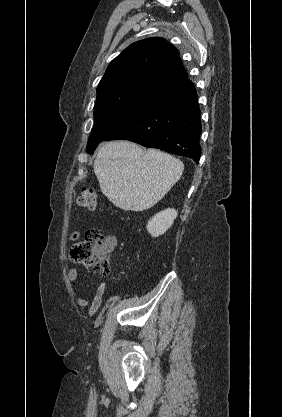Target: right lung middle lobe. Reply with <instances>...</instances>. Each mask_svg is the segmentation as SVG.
Listing matches in <instances>:
<instances>
[{"label": "right lung middle lobe", "mask_w": 282, "mask_h": 417, "mask_svg": "<svg viewBox=\"0 0 282 417\" xmlns=\"http://www.w3.org/2000/svg\"><path fill=\"white\" fill-rule=\"evenodd\" d=\"M158 92L124 90L97 95L94 106V127L88 139L87 151L92 154L98 143L122 126L150 103Z\"/></svg>", "instance_id": "right-lung-middle-lobe-1"}]
</instances>
